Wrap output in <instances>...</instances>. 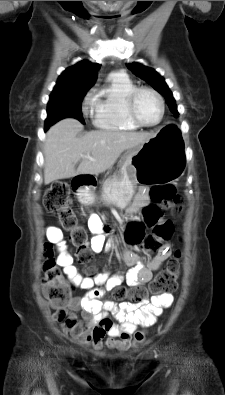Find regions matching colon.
<instances>
[{"mask_svg": "<svg viewBox=\"0 0 225 395\" xmlns=\"http://www.w3.org/2000/svg\"><path fill=\"white\" fill-rule=\"evenodd\" d=\"M151 204L142 210V221L131 222L125 232V239L129 244L139 245L145 254L158 252L162 242L169 240L173 234L170 221L161 220V209L170 210L174 217H180L185 208V199L177 194L173 185H157L149 191ZM44 205L46 210L59 222L61 228L69 233L70 242L76 248V256L80 263L88 264L92 253L88 246L87 233L78 223L77 216L71 206L70 189L64 182L52 184L45 193ZM145 226L152 228V233L145 235ZM182 254L176 251L168 261L165 269L160 271L148 288L136 287L127 289L124 286L114 288L116 299H130L141 302L149 293H171L177 288L180 273V259ZM43 292L51 306L56 310H63L72 300V284L63 276L60 266L56 265V258L50 243H46L43 251ZM115 260L114 256L110 257ZM94 270L88 268V273Z\"/></svg>", "mask_w": 225, "mask_h": 395, "instance_id": "1", "label": "colon"}]
</instances>
